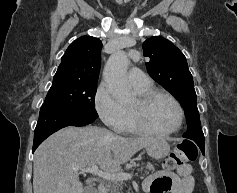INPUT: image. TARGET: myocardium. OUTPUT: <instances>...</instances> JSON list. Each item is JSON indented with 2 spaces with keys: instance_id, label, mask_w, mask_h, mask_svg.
<instances>
[{
  "instance_id": "f54148a6",
  "label": "myocardium",
  "mask_w": 237,
  "mask_h": 193,
  "mask_svg": "<svg viewBox=\"0 0 237 193\" xmlns=\"http://www.w3.org/2000/svg\"><path fill=\"white\" fill-rule=\"evenodd\" d=\"M158 97H166L169 100H171L173 102V104L176 106L178 115H179L178 122H177L176 126L172 129L166 130V131H157V130L150 129L141 122L139 114L130 109L129 112H130L131 123H132V126L134 127V129L138 133L148 135V136L163 137V136H168L173 133H176L182 127L183 122H184V110H183L180 102L170 93L165 92V91H149L143 95H140L138 100H139V103L142 107H146L154 99H156Z\"/></svg>"
}]
</instances>
